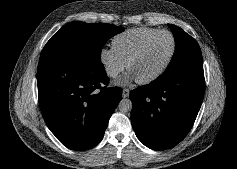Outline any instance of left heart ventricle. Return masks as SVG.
I'll use <instances>...</instances> for the list:
<instances>
[{
    "mask_svg": "<svg viewBox=\"0 0 237 169\" xmlns=\"http://www.w3.org/2000/svg\"><path fill=\"white\" fill-rule=\"evenodd\" d=\"M172 48V40L168 34L156 36L144 49L130 67L136 79L146 78L157 72L166 62Z\"/></svg>",
    "mask_w": 237,
    "mask_h": 169,
    "instance_id": "obj_1",
    "label": "left heart ventricle"
}]
</instances>
